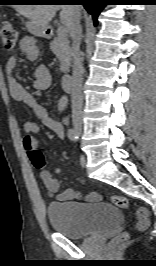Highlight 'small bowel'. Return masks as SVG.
I'll return each mask as SVG.
<instances>
[{
  "label": "small bowel",
  "instance_id": "1",
  "mask_svg": "<svg viewBox=\"0 0 156 266\" xmlns=\"http://www.w3.org/2000/svg\"><path fill=\"white\" fill-rule=\"evenodd\" d=\"M20 49L26 54L28 59H35L38 55V47L35 40L32 37H24L20 42ZM17 61L16 58L11 57L6 64V71L8 74V88L11 97L18 101L23 102L30 109L33 110L35 115L41 119L43 124L54 132V134L60 138H64V126L61 121L56 120L49 116L48 111L44 105H42L38 99L29 93L23 85L13 75ZM34 87L38 90H46L51 84V76L49 70L45 66H39L34 73ZM67 101L62 98L59 102V109L64 110ZM40 127L33 121H27L24 124L25 136L23 137L22 145L26 153L37 150L38 140L36 134L39 133ZM40 175L47 193L51 196H56L59 201H71L79 197V193L72 189H66L62 192L59 191V182L52 177L51 173L44 167L40 169ZM88 201L95 202L101 199V196L97 193H90L86 196Z\"/></svg>",
  "mask_w": 156,
  "mask_h": 266
}]
</instances>
